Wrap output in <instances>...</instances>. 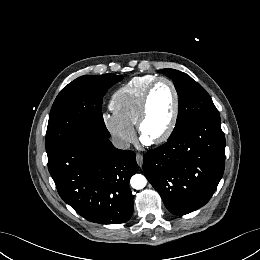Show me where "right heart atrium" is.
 <instances>
[{"mask_svg": "<svg viewBox=\"0 0 260 260\" xmlns=\"http://www.w3.org/2000/svg\"><path fill=\"white\" fill-rule=\"evenodd\" d=\"M102 121L119 147L126 148L135 140L136 133L134 127L125 122L114 112L103 113Z\"/></svg>", "mask_w": 260, "mask_h": 260, "instance_id": "obj_1", "label": "right heart atrium"}]
</instances>
